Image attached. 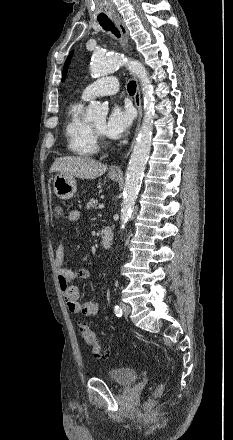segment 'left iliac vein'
Returning <instances> with one entry per match:
<instances>
[{
  "mask_svg": "<svg viewBox=\"0 0 233 440\" xmlns=\"http://www.w3.org/2000/svg\"><path fill=\"white\" fill-rule=\"evenodd\" d=\"M121 309L125 316H128L131 313V307L126 303L121 304Z\"/></svg>",
  "mask_w": 233,
  "mask_h": 440,
  "instance_id": "1",
  "label": "left iliac vein"
}]
</instances>
